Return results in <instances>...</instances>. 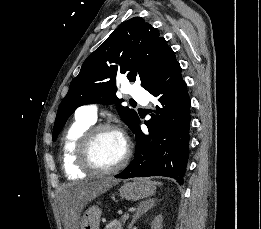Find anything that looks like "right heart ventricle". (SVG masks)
I'll return each instance as SVG.
<instances>
[{"label": "right heart ventricle", "instance_id": "1", "mask_svg": "<svg viewBox=\"0 0 261 229\" xmlns=\"http://www.w3.org/2000/svg\"><path fill=\"white\" fill-rule=\"evenodd\" d=\"M94 122L82 115L80 108L75 113L73 122L65 131L60 143V157L66 173L84 174L86 170L78 161L77 148L82 136L93 127Z\"/></svg>", "mask_w": 261, "mask_h": 229}]
</instances>
